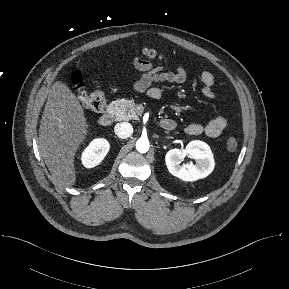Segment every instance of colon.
<instances>
[{"instance_id":"colon-1","label":"colon","mask_w":289,"mask_h":289,"mask_svg":"<svg viewBox=\"0 0 289 289\" xmlns=\"http://www.w3.org/2000/svg\"><path fill=\"white\" fill-rule=\"evenodd\" d=\"M141 53L150 60H164L163 56L158 54L154 49L144 48ZM72 82L77 89L78 98L85 108L94 112H101L105 109L106 100L103 92L100 90L86 91L84 89L82 76L79 72L73 74ZM237 146L238 142L234 137L228 138L226 147L230 152H234Z\"/></svg>"}]
</instances>
